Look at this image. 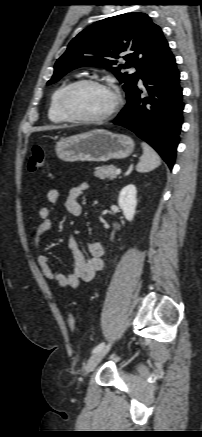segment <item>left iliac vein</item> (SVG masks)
<instances>
[{
    "instance_id": "left-iliac-vein-1",
    "label": "left iliac vein",
    "mask_w": 202,
    "mask_h": 437,
    "mask_svg": "<svg viewBox=\"0 0 202 437\" xmlns=\"http://www.w3.org/2000/svg\"><path fill=\"white\" fill-rule=\"evenodd\" d=\"M110 349V345H107L103 349L95 352L87 361V364L84 368L85 374H88L92 372L96 366L99 364V362L102 360V358L107 354V352Z\"/></svg>"
}]
</instances>
